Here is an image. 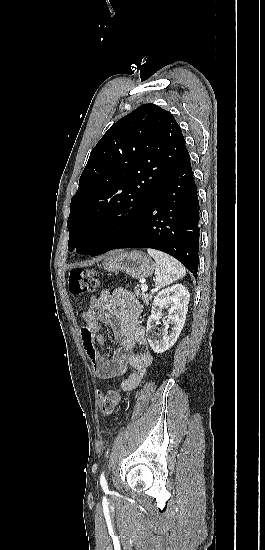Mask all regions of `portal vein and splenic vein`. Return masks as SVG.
I'll return each instance as SVG.
<instances>
[{"label":"portal vein and splenic vein","mask_w":265,"mask_h":550,"mask_svg":"<svg viewBox=\"0 0 265 550\" xmlns=\"http://www.w3.org/2000/svg\"><path fill=\"white\" fill-rule=\"evenodd\" d=\"M141 289H142L143 292H146V291L148 290V286H147L146 284L143 283V284L141 285Z\"/></svg>","instance_id":"1"}]
</instances>
